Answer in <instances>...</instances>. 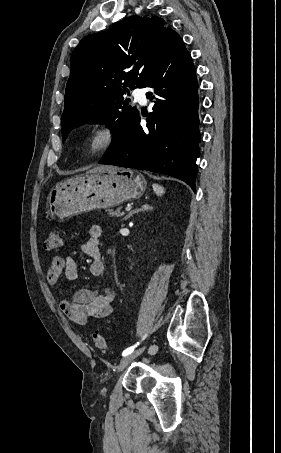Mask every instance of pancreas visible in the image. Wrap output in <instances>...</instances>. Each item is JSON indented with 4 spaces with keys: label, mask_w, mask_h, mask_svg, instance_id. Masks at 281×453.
I'll return each mask as SVG.
<instances>
[{
    "label": "pancreas",
    "mask_w": 281,
    "mask_h": 453,
    "mask_svg": "<svg viewBox=\"0 0 281 453\" xmlns=\"http://www.w3.org/2000/svg\"><path fill=\"white\" fill-rule=\"evenodd\" d=\"M110 214L111 216H122L123 212H120V208H116V210H113V208H110Z\"/></svg>",
    "instance_id": "obj_1"
}]
</instances>
